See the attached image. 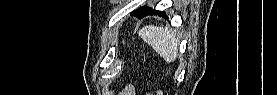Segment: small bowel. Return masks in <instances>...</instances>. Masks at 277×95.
<instances>
[{
  "mask_svg": "<svg viewBox=\"0 0 277 95\" xmlns=\"http://www.w3.org/2000/svg\"><path fill=\"white\" fill-rule=\"evenodd\" d=\"M123 95H132L134 94V90L132 88V85L131 84H126L122 90V93Z\"/></svg>",
  "mask_w": 277,
  "mask_h": 95,
  "instance_id": "c3829d8e",
  "label": "small bowel"
}]
</instances>
